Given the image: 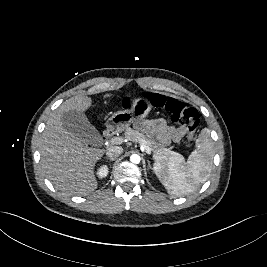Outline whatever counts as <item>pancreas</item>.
Here are the masks:
<instances>
[{
  "label": "pancreas",
  "mask_w": 267,
  "mask_h": 267,
  "mask_svg": "<svg viewBox=\"0 0 267 267\" xmlns=\"http://www.w3.org/2000/svg\"><path fill=\"white\" fill-rule=\"evenodd\" d=\"M124 138L129 141L140 143L149 147L151 153H153V157L158 160L169 159L170 157L177 154L171 151L172 148H158L145 135L136 130H133L132 128L125 129Z\"/></svg>",
  "instance_id": "1"
}]
</instances>
